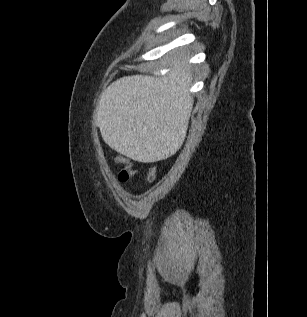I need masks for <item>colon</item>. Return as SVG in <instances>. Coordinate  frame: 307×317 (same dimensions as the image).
<instances>
[{"label": "colon", "instance_id": "colon-1", "mask_svg": "<svg viewBox=\"0 0 307 317\" xmlns=\"http://www.w3.org/2000/svg\"><path fill=\"white\" fill-rule=\"evenodd\" d=\"M114 162L116 164L122 165V169L119 171L118 179L120 182H128L133 175L135 174V170L132 168V164L130 161L124 156H116L114 157ZM157 177V170L155 166H149L147 168L146 181L148 183H153Z\"/></svg>", "mask_w": 307, "mask_h": 317}]
</instances>
